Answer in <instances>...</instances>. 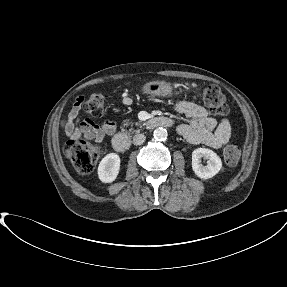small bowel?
Instances as JSON below:
<instances>
[{
	"mask_svg": "<svg viewBox=\"0 0 287 287\" xmlns=\"http://www.w3.org/2000/svg\"><path fill=\"white\" fill-rule=\"evenodd\" d=\"M174 109L188 116L191 121L178 127V132L192 144H203L211 148H221L231 136V125L228 119L219 122L211 117L202 106L185 100L175 103ZM81 107L75 103L62 125L71 136H84L87 139L102 143L105 136H112L117 131L113 121H106L100 125L86 119L79 121Z\"/></svg>",
	"mask_w": 287,
	"mask_h": 287,
	"instance_id": "small-bowel-1",
	"label": "small bowel"
}]
</instances>
